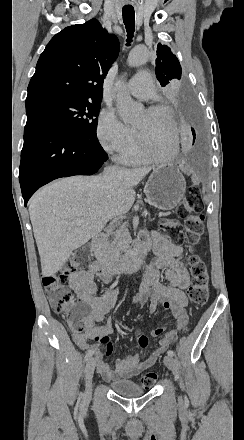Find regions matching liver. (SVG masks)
<instances>
[{"label": "liver", "instance_id": "1", "mask_svg": "<svg viewBox=\"0 0 244 440\" xmlns=\"http://www.w3.org/2000/svg\"><path fill=\"white\" fill-rule=\"evenodd\" d=\"M153 168H119L108 178L71 176L44 186L29 202L42 276H55L73 250L102 232L107 222L124 216L135 202V186ZM83 218L81 226L72 224Z\"/></svg>", "mask_w": 244, "mask_h": 440}]
</instances>
